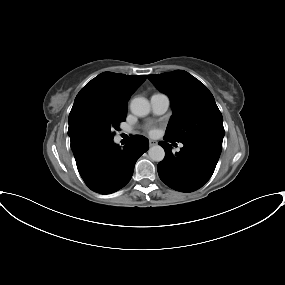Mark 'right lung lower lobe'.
<instances>
[{"instance_id":"obj_1","label":"right lung lower lobe","mask_w":285,"mask_h":285,"mask_svg":"<svg viewBox=\"0 0 285 285\" xmlns=\"http://www.w3.org/2000/svg\"><path fill=\"white\" fill-rule=\"evenodd\" d=\"M147 138L134 135L121 148L110 141H87L72 147L78 171L93 191L110 194L131 179L137 159L148 150Z\"/></svg>"}]
</instances>
